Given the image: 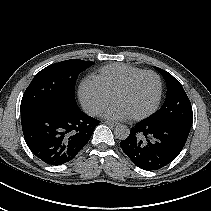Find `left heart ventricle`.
<instances>
[{
	"label": "left heart ventricle",
	"instance_id": "b2bd125f",
	"mask_svg": "<svg viewBox=\"0 0 211 211\" xmlns=\"http://www.w3.org/2000/svg\"><path fill=\"white\" fill-rule=\"evenodd\" d=\"M157 95L156 78L146 75L137 80L128 90L118 94L113 100L121 104L132 116L149 110L154 105Z\"/></svg>",
	"mask_w": 211,
	"mask_h": 211
}]
</instances>
